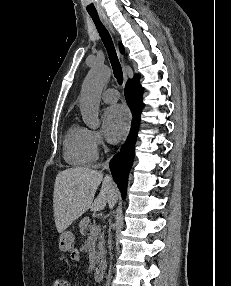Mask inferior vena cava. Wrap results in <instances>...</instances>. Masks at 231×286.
I'll list each match as a JSON object with an SVG mask.
<instances>
[{"label":"inferior vena cava","mask_w":231,"mask_h":286,"mask_svg":"<svg viewBox=\"0 0 231 286\" xmlns=\"http://www.w3.org/2000/svg\"><path fill=\"white\" fill-rule=\"evenodd\" d=\"M104 169H108L109 168V159L105 162L104 164ZM110 250H111V243H110ZM110 255H111V259H112V254L110 252ZM111 265H110V269H109V273H108V276H107V284L106 286H109L110 285V281H111Z\"/></svg>","instance_id":"inferior-vena-cava-1"}]
</instances>
